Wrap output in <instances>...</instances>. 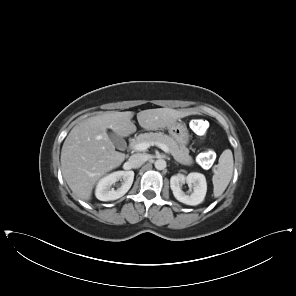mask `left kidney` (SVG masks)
<instances>
[{"label":"left kidney","mask_w":296,"mask_h":296,"mask_svg":"<svg viewBox=\"0 0 296 296\" xmlns=\"http://www.w3.org/2000/svg\"><path fill=\"white\" fill-rule=\"evenodd\" d=\"M186 182L189 186L193 185V193L191 195L185 194L182 191L181 185ZM170 187L173 191L174 197L186 205H198L204 201L207 192L206 178L203 174L192 172L187 176L177 174L171 177Z\"/></svg>","instance_id":"1"}]
</instances>
